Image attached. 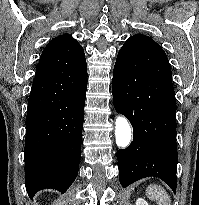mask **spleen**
<instances>
[{
    "instance_id": "spleen-1",
    "label": "spleen",
    "mask_w": 199,
    "mask_h": 205,
    "mask_svg": "<svg viewBox=\"0 0 199 205\" xmlns=\"http://www.w3.org/2000/svg\"><path fill=\"white\" fill-rule=\"evenodd\" d=\"M147 196L157 202V205H171L170 196L158 185H150L146 189Z\"/></svg>"
}]
</instances>
